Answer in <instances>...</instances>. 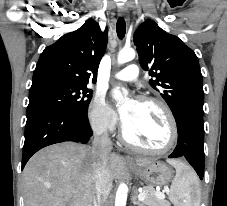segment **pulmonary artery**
I'll return each instance as SVG.
<instances>
[{"mask_svg": "<svg viewBox=\"0 0 227 206\" xmlns=\"http://www.w3.org/2000/svg\"><path fill=\"white\" fill-rule=\"evenodd\" d=\"M139 75V67L135 64H131L114 74L113 78L118 81L133 82L139 78Z\"/></svg>", "mask_w": 227, "mask_h": 206, "instance_id": "1", "label": "pulmonary artery"}]
</instances>
